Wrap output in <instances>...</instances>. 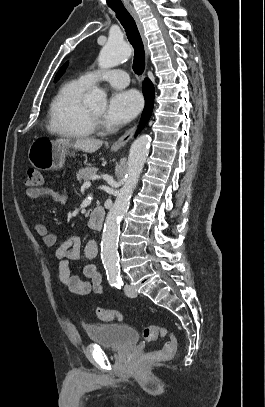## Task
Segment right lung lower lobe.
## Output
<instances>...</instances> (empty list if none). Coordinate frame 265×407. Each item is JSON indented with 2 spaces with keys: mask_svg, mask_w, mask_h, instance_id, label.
<instances>
[{
  "mask_svg": "<svg viewBox=\"0 0 265 407\" xmlns=\"http://www.w3.org/2000/svg\"><path fill=\"white\" fill-rule=\"evenodd\" d=\"M142 90L145 97V108L142 113L140 128L149 120L154 105V87L148 78L144 80Z\"/></svg>",
  "mask_w": 265,
  "mask_h": 407,
  "instance_id": "98d812e1",
  "label": "right lung lower lobe"
}]
</instances>
